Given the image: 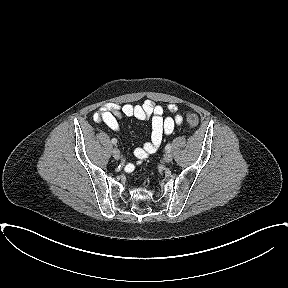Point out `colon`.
<instances>
[{"label": "colon", "mask_w": 288, "mask_h": 288, "mask_svg": "<svg viewBox=\"0 0 288 288\" xmlns=\"http://www.w3.org/2000/svg\"><path fill=\"white\" fill-rule=\"evenodd\" d=\"M186 122H187V124H188L190 127L194 128V127H196V126L198 125V123H199L198 116H197L196 114H194V113L188 112V113L186 114Z\"/></svg>", "instance_id": "1"}]
</instances>
